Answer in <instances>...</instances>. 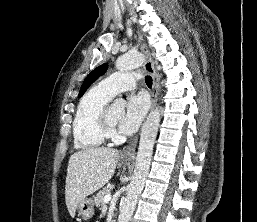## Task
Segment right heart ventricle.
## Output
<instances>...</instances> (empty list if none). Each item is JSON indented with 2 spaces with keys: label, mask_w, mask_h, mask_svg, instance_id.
<instances>
[{
  "label": "right heart ventricle",
  "mask_w": 257,
  "mask_h": 222,
  "mask_svg": "<svg viewBox=\"0 0 257 222\" xmlns=\"http://www.w3.org/2000/svg\"><path fill=\"white\" fill-rule=\"evenodd\" d=\"M112 96L99 87L90 89L80 100L73 120V138L76 148L95 149L105 140L101 116Z\"/></svg>",
  "instance_id": "obj_1"
}]
</instances>
